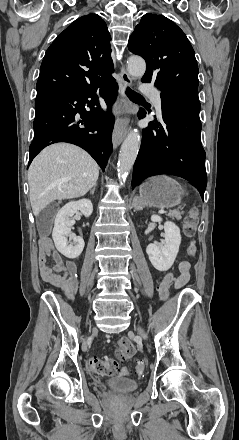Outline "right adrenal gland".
I'll use <instances>...</instances> for the list:
<instances>
[{"mask_svg":"<svg viewBox=\"0 0 239 440\" xmlns=\"http://www.w3.org/2000/svg\"><path fill=\"white\" fill-rule=\"evenodd\" d=\"M95 190H96V186H93L92 190H90V194H94Z\"/></svg>","mask_w":239,"mask_h":440,"instance_id":"right-adrenal-gland-1","label":"right adrenal gland"}]
</instances>
